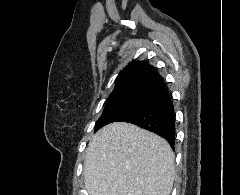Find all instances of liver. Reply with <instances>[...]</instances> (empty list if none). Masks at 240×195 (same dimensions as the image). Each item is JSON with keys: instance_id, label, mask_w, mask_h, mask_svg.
I'll list each match as a JSON object with an SVG mask.
<instances>
[{"instance_id": "1", "label": "liver", "mask_w": 240, "mask_h": 195, "mask_svg": "<svg viewBox=\"0 0 240 195\" xmlns=\"http://www.w3.org/2000/svg\"><path fill=\"white\" fill-rule=\"evenodd\" d=\"M175 155L153 131L114 121L94 133L84 159L89 195H170Z\"/></svg>"}]
</instances>
